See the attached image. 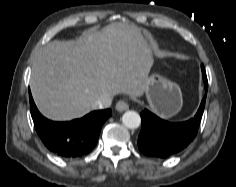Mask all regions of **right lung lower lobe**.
<instances>
[{
    "label": "right lung lower lobe",
    "instance_id": "1",
    "mask_svg": "<svg viewBox=\"0 0 236 187\" xmlns=\"http://www.w3.org/2000/svg\"><path fill=\"white\" fill-rule=\"evenodd\" d=\"M29 98L31 116L40 139L50 151L66 159L90 153L97 144L103 123L112 115L111 109H106L69 122H53L40 114L30 92Z\"/></svg>",
    "mask_w": 236,
    "mask_h": 187
}]
</instances>
